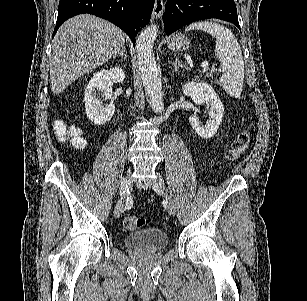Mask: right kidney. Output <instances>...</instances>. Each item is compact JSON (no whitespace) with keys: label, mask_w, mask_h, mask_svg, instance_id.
I'll return each mask as SVG.
<instances>
[{"label":"right kidney","mask_w":307,"mask_h":301,"mask_svg":"<svg viewBox=\"0 0 307 301\" xmlns=\"http://www.w3.org/2000/svg\"><path fill=\"white\" fill-rule=\"evenodd\" d=\"M123 80H125V70L121 66L102 68L91 76L84 90L85 112L91 122L105 124L111 120L115 112V104L112 100L113 84ZM103 96L110 102L104 104Z\"/></svg>","instance_id":"1"}]
</instances>
